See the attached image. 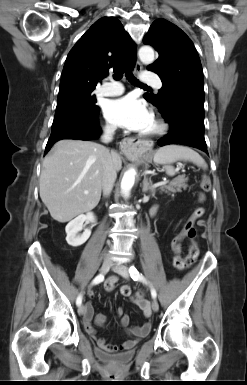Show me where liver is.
Returning a JSON list of instances; mask_svg holds the SVG:
<instances>
[{
  "label": "liver",
  "instance_id": "obj_1",
  "mask_svg": "<svg viewBox=\"0 0 247 385\" xmlns=\"http://www.w3.org/2000/svg\"><path fill=\"white\" fill-rule=\"evenodd\" d=\"M111 155L116 171L122 166L120 155L104 146L84 140L56 142L43 160L40 197L51 217L65 223L94 209L101 197L103 157ZM88 191V194L84 192Z\"/></svg>",
  "mask_w": 247,
  "mask_h": 385
}]
</instances>
